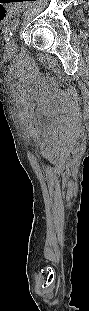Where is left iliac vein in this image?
Masks as SVG:
<instances>
[{"label": "left iliac vein", "instance_id": "obj_1", "mask_svg": "<svg viewBox=\"0 0 89 311\" xmlns=\"http://www.w3.org/2000/svg\"><path fill=\"white\" fill-rule=\"evenodd\" d=\"M17 49V44L14 36L10 39V41L7 43L6 51L8 54H13Z\"/></svg>", "mask_w": 89, "mask_h": 311}]
</instances>
